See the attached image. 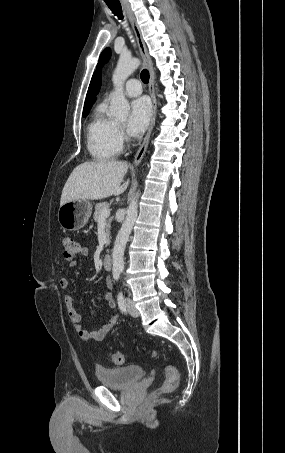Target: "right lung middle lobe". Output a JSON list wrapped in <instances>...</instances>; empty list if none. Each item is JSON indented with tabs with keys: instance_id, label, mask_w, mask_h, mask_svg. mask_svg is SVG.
Here are the masks:
<instances>
[{
	"instance_id": "right-lung-middle-lobe-1",
	"label": "right lung middle lobe",
	"mask_w": 285,
	"mask_h": 453,
	"mask_svg": "<svg viewBox=\"0 0 285 453\" xmlns=\"http://www.w3.org/2000/svg\"><path fill=\"white\" fill-rule=\"evenodd\" d=\"M89 111L83 112V117H86L88 115Z\"/></svg>"
}]
</instances>
